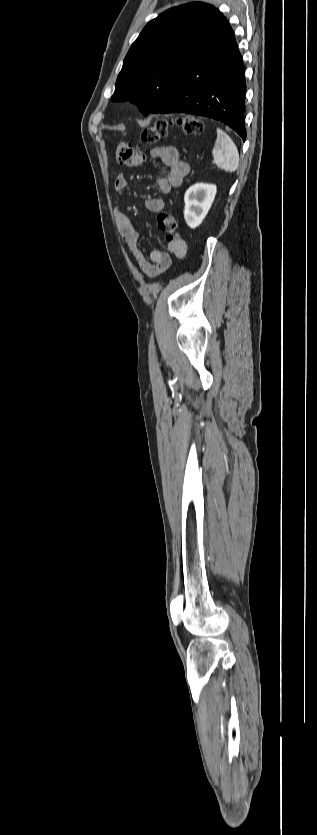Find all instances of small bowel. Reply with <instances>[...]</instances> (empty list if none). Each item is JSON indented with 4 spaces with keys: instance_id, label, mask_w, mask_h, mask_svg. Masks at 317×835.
Here are the masks:
<instances>
[{
    "instance_id": "1",
    "label": "small bowel",
    "mask_w": 317,
    "mask_h": 835,
    "mask_svg": "<svg viewBox=\"0 0 317 835\" xmlns=\"http://www.w3.org/2000/svg\"><path fill=\"white\" fill-rule=\"evenodd\" d=\"M151 157L166 167L165 175L155 180V187L162 194H169L173 187L180 186L190 171L189 164L179 158V152L173 146L153 148ZM127 187V177L123 173L118 174L114 181L115 190L122 192ZM145 206L151 212H160L164 207V201L159 197L150 198L145 201ZM114 217L121 237L130 247L146 277L153 278L168 269L172 263V255L179 259L184 258L186 244L180 238L169 243L167 251L153 250L149 257H146L139 246V232L131 219L119 208L115 209Z\"/></svg>"
}]
</instances>
